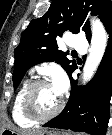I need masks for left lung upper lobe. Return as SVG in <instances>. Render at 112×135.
Wrapping results in <instances>:
<instances>
[{
  "label": "left lung upper lobe",
  "instance_id": "1",
  "mask_svg": "<svg viewBox=\"0 0 112 135\" xmlns=\"http://www.w3.org/2000/svg\"><path fill=\"white\" fill-rule=\"evenodd\" d=\"M89 11L98 15L104 26H107L112 19V1L52 0L46 14L30 22L14 52V89L18 87L26 71L38 63L55 61L68 75L76 68L75 62L67 59L68 53L58 50L57 38L65 31H84L90 41L91 30L89 20L86 19Z\"/></svg>",
  "mask_w": 112,
  "mask_h": 135
}]
</instances>
